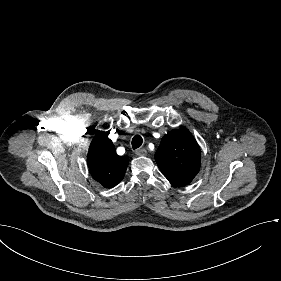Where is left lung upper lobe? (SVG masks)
<instances>
[{"label":"left lung upper lobe","mask_w":281,"mask_h":281,"mask_svg":"<svg viewBox=\"0 0 281 281\" xmlns=\"http://www.w3.org/2000/svg\"><path fill=\"white\" fill-rule=\"evenodd\" d=\"M155 160L172 185L185 186L200 169V148L189 130L181 127L163 137Z\"/></svg>","instance_id":"left-lung-upper-lobe-1"}]
</instances>
